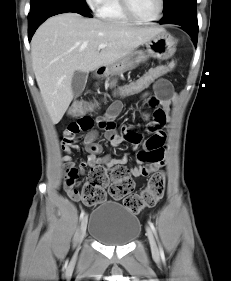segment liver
<instances>
[{
    "mask_svg": "<svg viewBox=\"0 0 231 281\" xmlns=\"http://www.w3.org/2000/svg\"><path fill=\"white\" fill-rule=\"evenodd\" d=\"M161 27H136L123 22L63 13L46 20L31 42L32 67L47 112L57 124L72 99L75 71L109 66L163 32ZM106 44L104 49H98Z\"/></svg>",
    "mask_w": 231,
    "mask_h": 281,
    "instance_id": "1",
    "label": "liver"
}]
</instances>
